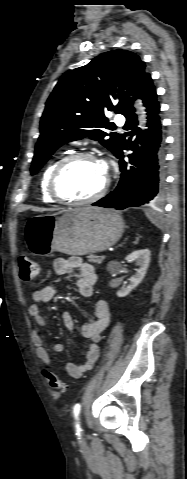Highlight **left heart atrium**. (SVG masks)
<instances>
[{"mask_svg":"<svg viewBox=\"0 0 187 479\" xmlns=\"http://www.w3.org/2000/svg\"><path fill=\"white\" fill-rule=\"evenodd\" d=\"M99 163H100L102 169L104 170V172L106 173V171H107L106 163L105 162H99Z\"/></svg>","mask_w":187,"mask_h":479,"instance_id":"left-heart-atrium-1","label":"left heart atrium"}]
</instances>
